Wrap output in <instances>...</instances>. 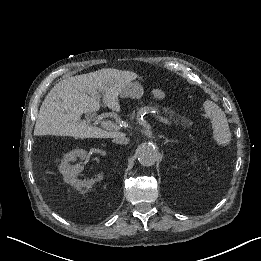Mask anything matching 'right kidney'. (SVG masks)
Wrapping results in <instances>:
<instances>
[{"instance_id":"1","label":"right kidney","mask_w":261,"mask_h":261,"mask_svg":"<svg viewBox=\"0 0 261 261\" xmlns=\"http://www.w3.org/2000/svg\"><path fill=\"white\" fill-rule=\"evenodd\" d=\"M86 156L87 154L85 151H74L70 154L65 155L63 161L59 166V171L63 175L64 181L79 189H89L95 183H100L105 180L104 172H100L94 179H86L83 181L75 177V175L78 174V169L80 168V165H71V162H73L77 157H79L80 159H85Z\"/></svg>"}]
</instances>
